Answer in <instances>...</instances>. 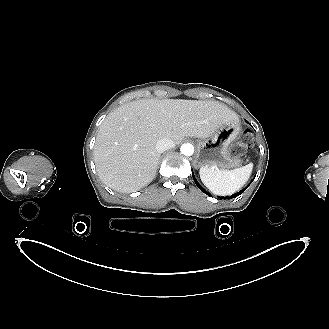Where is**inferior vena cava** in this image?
<instances>
[{
    "label": "inferior vena cava",
    "mask_w": 329,
    "mask_h": 329,
    "mask_svg": "<svg viewBox=\"0 0 329 329\" xmlns=\"http://www.w3.org/2000/svg\"><path fill=\"white\" fill-rule=\"evenodd\" d=\"M175 146V143L169 138H162L156 143V150L158 153H163L164 151L171 149Z\"/></svg>",
    "instance_id": "602c4592"
}]
</instances>
